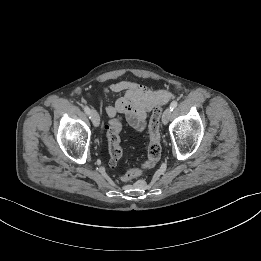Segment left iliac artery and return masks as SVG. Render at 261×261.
Here are the masks:
<instances>
[{"label":"left iliac artery","instance_id":"1","mask_svg":"<svg viewBox=\"0 0 261 261\" xmlns=\"http://www.w3.org/2000/svg\"><path fill=\"white\" fill-rule=\"evenodd\" d=\"M177 101H172L170 104V110L173 111V109H175L177 107Z\"/></svg>","mask_w":261,"mask_h":261}]
</instances>
